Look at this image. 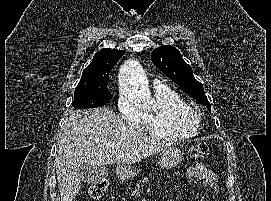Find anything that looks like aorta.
Listing matches in <instances>:
<instances>
[{
	"label": "aorta",
	"instance_id": "obj_1",
	"mask_svg": "<svg viewBox=\"0 0 271 201\" xmlns=\"http://www.w3.org/2000/svg\"><path fill=\"white\" fill-rule=\"evenodd\" d=\"M120 74L121 86L128 96L146 109L155 106L143 70L136 61H125L120 68Z\"/></svg>",
	"mask_w": 271,
	"mask_h": 201
}]
</instances>
